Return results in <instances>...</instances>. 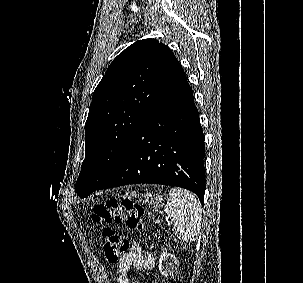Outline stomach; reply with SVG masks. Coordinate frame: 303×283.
I'll return each mask as SVG.
<instances>
[{"label": "stomach", "mask_w": 303, "mask_h": 283, "mask_svg": "<svg viewBox=\"0 0 303 283\" xmlns=\"http://www.w3.org/2000/svg\"><path fill=\"white\" fill-rule=\"evenodd\" d=\"M142 203H147L151 205L153 208H158L164 202V197L160 194H145Z\"/></svg>", "instance_id": "stomach-1"}]
</instances>
